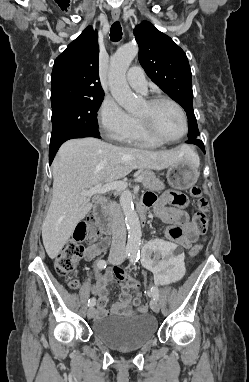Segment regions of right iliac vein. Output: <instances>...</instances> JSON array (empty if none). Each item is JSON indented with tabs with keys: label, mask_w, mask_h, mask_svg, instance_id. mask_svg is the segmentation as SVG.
Here are the masks:
<instances>
[{
	"label": "right iliac vein",
	"mask_w": 249,
	"mask_h": 382,
	"mask_svg": "<svg viewBox=\"0 0 249 382\" xmlns=\"http://www.w3.org/2000/svg\"><path fill=\"white\" fill-rule=\"evenodd\" d=\"M119 260L120 258L118 256H110L109 258V261L114 264L119 262ZM95 313H96L95 308L93 306H90L89 309L87 310V317L91 319L95 316Z\"/></svg>",
	"instance_id": "1"
}]
</instances>
